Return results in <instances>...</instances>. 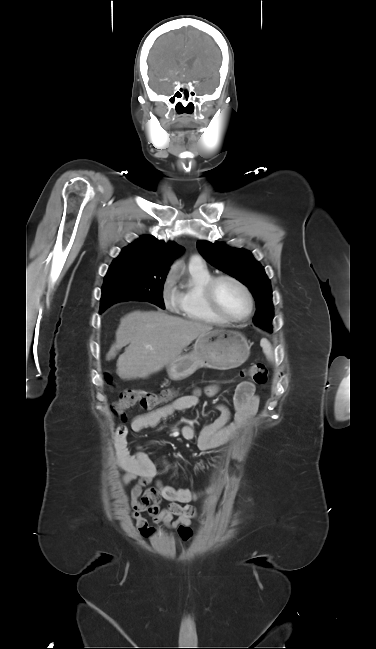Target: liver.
I'll list each match as a JSON object with an SVG mask.
<instances>
[{"label":"liver","mask_w":376,"mask_h":649,"mask_svg":"<svg viewBox=\"0 0 376 649\" xmlns=\"http://www.w3.org/2000/svg\"><path fill=\"white\" fill-rule=\"evenodd\" d=\"M212 329L206 323L162 311H134L121 318L106 359L115 358L128 345L117 360V375L122 380L146 378L180 356L201 333Z\"/></svg>","instance_id":"liver-1"}]
</instances>
